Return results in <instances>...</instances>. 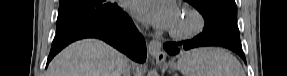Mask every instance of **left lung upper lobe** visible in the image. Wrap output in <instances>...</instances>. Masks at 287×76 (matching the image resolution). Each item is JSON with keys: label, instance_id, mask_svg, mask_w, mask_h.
<instances>
[{"label": "left lung upper lobe", "instance_id": "left-lung-upper-lobe-1", "mask_svg": "<svg viewBox=\"0 0 287 76\" xmlns=\"http://www.w3.org/2000/svg\"><path fill=\"white\" fill-rule=\"evenodd\" d=\"M204 17L205 28L214 34L240 40L235 0H185Z\"/></svg>", "mask_w": 287, "mask_h": 76}]
</instances>
